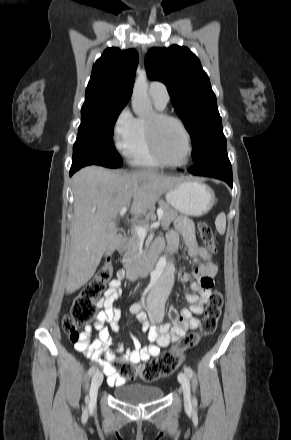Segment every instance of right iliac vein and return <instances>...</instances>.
Returning a JSON list of instances; mask_svg holds the SVG:
<instances>
[{
  "instance_id": "right-iliac-vein-1",
  "label": "right iliac vein",
  "mask_w": 291,
  "mask_h": 440,
  "mask_svg": "<svg viewBox=\"0 0 291 440\" xmlns=\"http://www.w3.org/2000/svg\"><path fill=\"white\" fill-rule=\"evenodd\" d=\"M103 382V374L100 371H97L94 373L90 385V399H89V406H94L96 404L98 390Z\"/></svg>"
}]
</instances>
